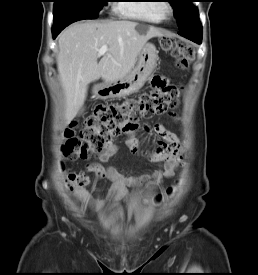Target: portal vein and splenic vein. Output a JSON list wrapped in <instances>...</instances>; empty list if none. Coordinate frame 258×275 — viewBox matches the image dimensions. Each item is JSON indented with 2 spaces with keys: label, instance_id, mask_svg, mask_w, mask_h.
Segmentation results:
<instances>
[{
  "label": "portal vein and splenic vein",
  "instance_id": "obj_1",
  "mask_svg": "<svg viewBox=\"0 0 258 275\" xmlns=\"http://www.w3.org/2000/svg\"><path fill=\"white\" fill-rule=\"evenodd\" d=\"M108 51V47L106 45H103L99 51H98V55L101 56V55H104L106 52Z\"/></svg>",
  "mask_w": 258,
  "mask_h": 275
}]
</instances>
